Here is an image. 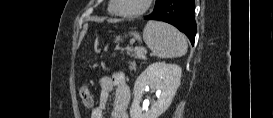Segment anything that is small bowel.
<instances>
[{"instance_id":"1","label":"small bowel","mask_w":273,"mask_h":118,"mask_svg":"<svg viewBox=\"0 0 273 118\" xmlns=\"http://www.w3.org/2000/svg\"><path fill=\"white\" fill-rule=\"evenodd\" d=\"M99 84L100 94L98 104L94 105V100L90 92L91 104H84L85 106L92 108L91 118H104L105 109L112 92H114L112 117L129 118L128 107L131 100V91L124 75L118 71L110 76L102 75L99 79Z\"/></svg>"}]
</instances>
